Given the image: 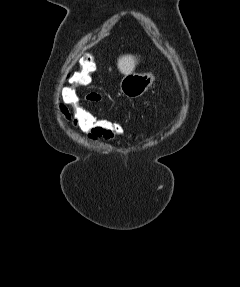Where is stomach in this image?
Wrapping results in <instances>:
<instances>
[{"label": "stomach", "instance_id": "obj_1", "mask_svg": "<svg viewBox=\"0 0 240 287\" xmlns=\"http://www.w3.org/2000/svg\"><path fill=\"white\" fill-rule=\"evenodd\" d=\"M155 81L151 72L130 73L125 75L120 82V91L127 98H138L142 96Z\"/></svg>", "mask_w": 240, "mask_h": 287}]
</instances>
